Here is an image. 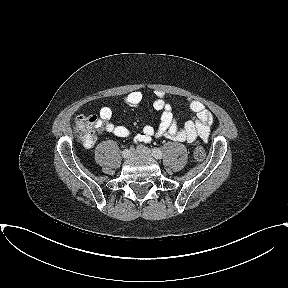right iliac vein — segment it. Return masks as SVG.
Instances as JSON below:
<instances>
[{
	"mask_svg": "<svg viewBox=\"0 0 288 288\" xmlns=\"http://www.w3.org/2000/svg\"><path fill=\"white\" fill-rule=\"evenodd\" d=\"M134 150L133 149H131V150H129V158L131 157V156H133L134 155Z\"/></svg>",
	"mask_w": 288,
	"mask_h": 288,
	"instance_id": "63e3f726",
	"label": "right iliac vein"
}]
</instances>
